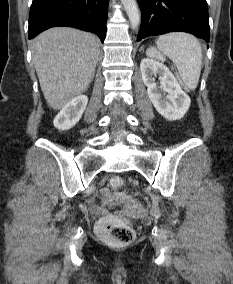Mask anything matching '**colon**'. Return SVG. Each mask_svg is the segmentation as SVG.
I'll return each mask as SVG.
<instances>
[{
  "label": "colon",
  "mask_w": 233,
  "mask_h": 284,
  "mask_svg": "<svg viewBox=\"0 0 233 284\" xmlns=\"http://www.w3.org/2000/svg\"><path fill=\"white\" fill-rule=\"evenodd\" d=\"M146 52L147 55L154 60L160 62L165 61L164 55L156 47H149ZM184 87L187 88L186 86ZM109 183L115 190H120L124 186V180L119 176L111 177ZM117 199L130 211L140 212L143 210V205L140 200L124 192H119ZM96 231L103 239L117 245H128L135 240L134 230L124 221L112 216L99 220L96 225Z\"/></svg>",
  "instance_id": "1"
}]
</instances>
